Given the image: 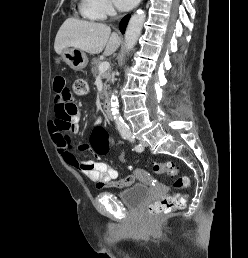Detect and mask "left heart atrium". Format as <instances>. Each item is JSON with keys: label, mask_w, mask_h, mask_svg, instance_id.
<instances>
[{"label": "left heart atrium", "mask_w": 248, "mask_h": 258, "mask_svg": "<svg viewBox=\"0 0 248 258\" xmlns=\"http://www.w3.org/2000/svg\"><path fill=\"white\" fill-rule=\"evenodd\" d=\"M139 0H114L117 7L121 10H128L134 7Z\"/></svg>", "instance_id": "1"}]
</instances>
